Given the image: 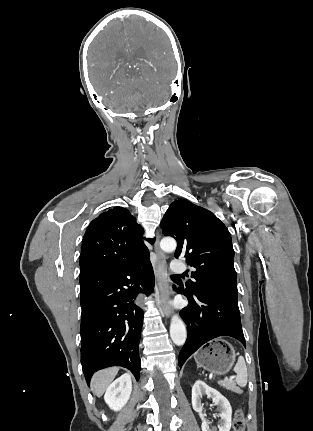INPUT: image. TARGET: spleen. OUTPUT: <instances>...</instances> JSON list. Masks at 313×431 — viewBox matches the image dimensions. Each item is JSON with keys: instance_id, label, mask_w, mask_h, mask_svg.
I'll list each match as a JSON object with an SVG mask.
<instances>
[{"instance_id": "1", "label": "spleen", "mask_w": 313, "mask_h": 431, "mask_svg": "<svg viewBox=\"0 0 313 431\" xmlns=\"http://www.w3.org/2000/svg\"><path fill=\"white\" fill-rule=\"evenodd\" d=\"M234 371L236 372V382L240 387H245L247 384V367L245 360L242 356L238 357V361L234 367Z\"/></svg>"}]
</instances>
